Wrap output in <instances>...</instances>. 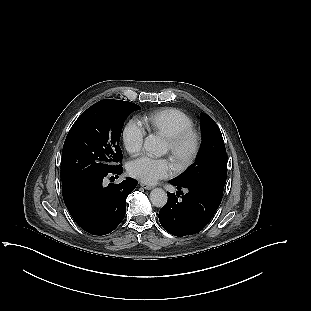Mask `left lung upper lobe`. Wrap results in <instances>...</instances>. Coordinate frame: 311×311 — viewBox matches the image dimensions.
Instances as JSON below:
<instances>
[{
	"instance_id": "obj_1",
	"label": "left lung upper lobe",
	"mask_w": 311,
	"mask_h": 311,
	"mask_svg": "<svg viewBox=\"0 0 311 311\" xmlns=\"http://www.w3.org/2000/svg\"><path fill=\"white\" fill-rule=\"evenodd\" d=\"M202 142L195 162L173 179L182 185L205 187L222 196L227 176L226 149L221 131L214 120L200 114Z\"/></svg>"
}]
</instances>
